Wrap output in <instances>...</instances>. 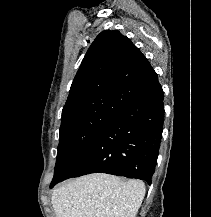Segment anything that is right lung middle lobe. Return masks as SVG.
Listing matches in <instances>:
<instances>
[{
	"label": "right lung middle lobe",
	"mask_w": 211,
	"mask_h": 217,
	"mask_svg": "<svg viewBox=\"0 0 211 217\" xmlns=\"http://www.w3.org/2000/svg\"><path fill=\"white\" fill-rule=\"evenodd\" d=\"M117 113L95 112L61 123L54 178H61L94 143Z\"/></svg>",
	"instance_id": "1"
}]
</instances>
